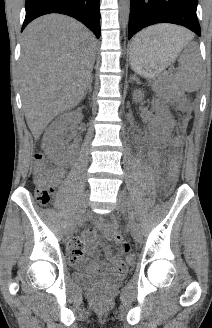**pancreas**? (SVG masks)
I'll return each instance as SVG.
<instances>
[{
  "mask_svg": "<svg viewBox=\"0 0 212 328\" xmlns=\"http://www.w3.org/2000/svg\"><path fill=\"white\" fill-rule=\"evenodd\" d=\"M172 88H173L172 85L167 86V89H172Z\"/></svg>",
  "mask_w": 212,
  "mask_h": 328,
  "instance_id": "1",
  "label": "pancreas"
}]
</instances>
